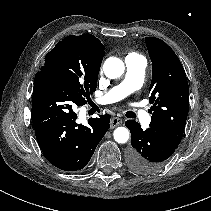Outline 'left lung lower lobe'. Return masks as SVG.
I'll list each match as a JSON object with an SVG mask.
<instances>
[{
	"instance_id": "obj_1",
	"label": "left lung lower lobe",
	"mask_w": 211,
	"mask_h": 211,
	"mask_svg": "<svg viewBox=\"0 0 211 211\" xmlns=\"http://www.w3.org/2000/svg\"><path fill=\"white\" fill-rule=\"evenodd\" d=\"M125 125L131 132V147L127 153L130 169L139 175L160 171L178 146L151 127L143 130L134 120L126 121Z\"/></svg>"
}]
</instances>
